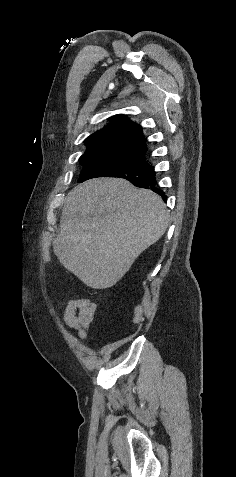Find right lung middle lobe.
<instances>
[{"label": "right lung middle lobe", "instance_id": "right-lung-middle-lobe-1", "mask_svg": "<svg viewBox=\"0 0 236 477\" xmlns=\"http://www.w3.org/2000/svg\"><path fill=\"white\" fill-rule=\"evenodd\" d=\"M142 160V156L135 157L132 159V161L136 163ZM80 164L83 166V170L81 171L79 182H83L85 180L96 177H106L122 168H125L123 164L106 160H86L80 161Z\"/></svg>", "mask_w": 236, "mask_h": 477}]
</instances>
